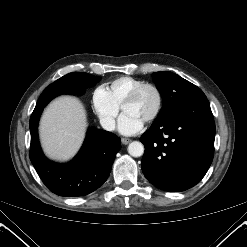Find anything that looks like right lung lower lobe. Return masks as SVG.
<instances>
[{"label": "right lung lower lobe", "mask_w": 247, "mask_h": 247, "mask_svg": "<svg viewBox=\"0 0 247 247\" xmlns=\"http://www.w3.org/2000/svg\"><path fill=\"white\" fill-rule=\"evenodd\" d=\"M81 92L44 91L30 118V160L46 187L60 196H84L99 188L107 180L121 148L120 138L116 135L90 128L81 150L71 162L58 164L44 156L38 140V122L44 107L61 94Z\"/></svg>", "instance_id": "1"}]
</instances>
